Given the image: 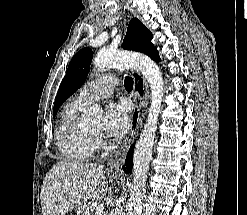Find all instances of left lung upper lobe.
<instances>
[{"label": "left lung upper lobe", "instance_id": "1", "mask_svg": "<svg viewBox=\"0 0 247 215\" xmlns=\"http://www.w3.org/2000/svg\"><path fill=\"white\" fill-rule=\"evenodd\" d=\"M152 38V33L138 19L133 18L128 25L122 47L151 56L157 50L151 43ZM92 58L93 53L89 48H84L73 56L55 98L53 117L65 100L84 84Z\"/></svg>", "mask_w": 247, "mask_h": 215}]
</instances>
